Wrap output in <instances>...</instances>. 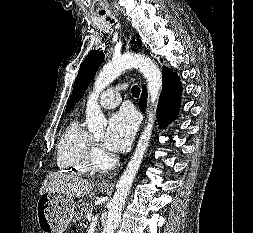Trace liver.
<instances>
[{
    "label": "liver",
    "mask_w": 253,
    "mask_h": 233,
    "mask_svg": "<svg viewBox=\"0 0 253 233\" xmlns=\"http://www.w3.org/2000/svg\"><path fill=\"white\" fill-rule=\"evenodd\" d=\"M95 184L89 180L60 172H51L46 176L40 188V195L45 192H57L69 198H80L88 194Z\"/></svg>",
    "instance_id": "1"
}]
</instances>
